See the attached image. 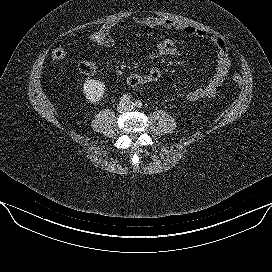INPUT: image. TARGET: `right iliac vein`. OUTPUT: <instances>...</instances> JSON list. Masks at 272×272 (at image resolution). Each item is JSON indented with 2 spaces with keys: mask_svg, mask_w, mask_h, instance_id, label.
Here are the masks:
<instances>
[{
  "mask_svg": "<svg viewBox=\"0 0 272 272\" xmlns=\"http://www.w3.org/2000/svg\"><path fill=\"white\" fill-rule=\"evenodd\" d=\"M127 109V104L125 102H120L117 106V111L122 113Z\"/></svg>",
  "mask_w": 272,
  "mask_h": 272,
  "instance_id": "obj_1",
  "label": "right iliac vein"
}]
</instances>
